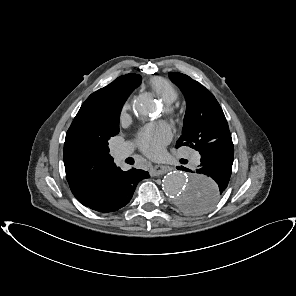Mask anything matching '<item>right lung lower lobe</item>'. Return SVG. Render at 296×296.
Returning a JSON list of instances; mask_svg holds the SVG:
<instances>
[{
    "instance_id": "98d812e1",
    "label": "right lung lower lobe",
    "mask_w": 296,
    "mask_h": 296,
    "mask_svg": "<svg viewBox=\"0 0 296 296\" xmlns=\"http://www.w3.org/2000/svg\"><path fill=\"white\" fill-rule=\"evenodd\" d=\"M149 177L148 172L143 170L133 168L124 172L118 169L79 202L102 213L117 211L130 202L138 182Z\"/></svg>"
}]
</instances>
